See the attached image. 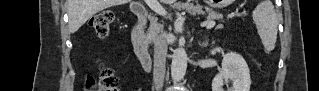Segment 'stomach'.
<instances>
[{
  "label": "stomach",
  "instance_id": "stomach-1",
  "mask_svg": "<svg viewBox=\"0 0 319 91\" xmlns=\"http://www.w3.org/2000/svg\"><path fill=\"white\" fill-rule=\"evenodd\" d=\"M224 5H225V3L219 2V1H214L211 3V6L215 7V8H220V7H223Z\"/></svg>",
  "mask_w": 319,
  "mask_h": 91
}]
</instances>
